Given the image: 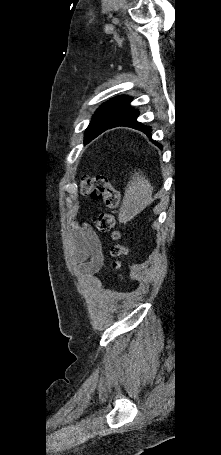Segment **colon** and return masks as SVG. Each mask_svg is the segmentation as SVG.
I'll list each match as a JSON object with an SVG mask.
<instances>
[{
    "label": "colon",
    "mask_w": 221,
    "mask_h": 455,
    "mask_svg": "<svg viewBox=\"0 0 221 455\" xmlns=\"http://www.w3.org/2000/svg\"><path fill=\"white\" fill-rule=\"evenodd\" d=\"M81 193L94 199L102 200L104 205L109 209L107 212L100 213L97 218V228L101 232L111 230L116 223V214L120 202V192L115 189L105 176H88L81 181ZM114 239L119 240L121 233L114 232ZM126 247L117 242L112 248V254L115 257L114 265L117 268L122 267L123 257L126 255Z\"/></svg>",
    "instance_id": "colon-1"
}]
</instances>
